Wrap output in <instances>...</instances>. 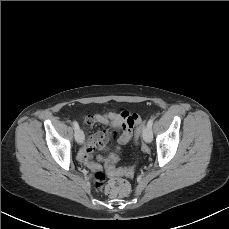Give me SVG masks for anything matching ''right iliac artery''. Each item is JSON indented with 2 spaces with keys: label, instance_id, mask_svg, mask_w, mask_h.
<instances>
[{
  "label": "right iliac artery",
  "instance_id": "obj_1",
  "mask_svg": "<svg viewBox=\"0 0 229 229\" xmlns=\"http://www.w3.org/2000/svg\"><path fill=\"white\" fill-rule=\"evenodd\" d=\"M73 128H74L75 131L80 129L79 128V124L76 121L73 122Z\"/></svg>",
  "mask_w": 229,
  "mask_h": 229
}]
</instances>
